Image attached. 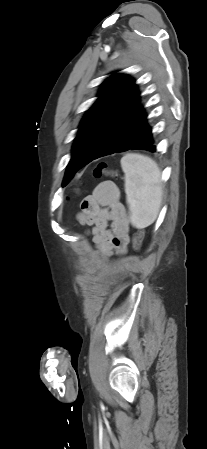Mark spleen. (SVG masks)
I'll return each instance as SVG.
<instances>
[{
    "mask_svg": "<svg viewBox=\"0 0 207 449\" xmlns=\"http://www.w3.org/2000/svg\"><path fill=\"white\" fill-rule=\"evenodd\" d=\"M131 224L143 229L157 218L162 201L161 171L150 157L126 154L121 159Z\"/></svg>",
    "mask_w": 207,
    "mask_h": 449,
    "instance_id": "1",
    "label": "spleen"
}]
</instances>
